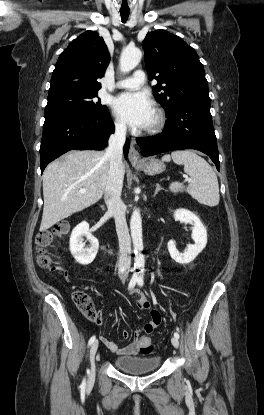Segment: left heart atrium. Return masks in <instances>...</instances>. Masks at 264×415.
Segmentation results:
<instances>
[{"mask_svg":"<svg viewBox=\"0 0 264 415\" xmlns=\"http://www.w3.org/2000/svg\"><path fill=\"white\" fill-rule=\"evenodd\" d=\"M113 107L115 113L134 128L147 127L154 115L152 100L144 92L120 94Z\"/></svg>","mask_w":264,"mask_h":415,"instance_id":"1","label":"left heart atrium"}]
</instances>
